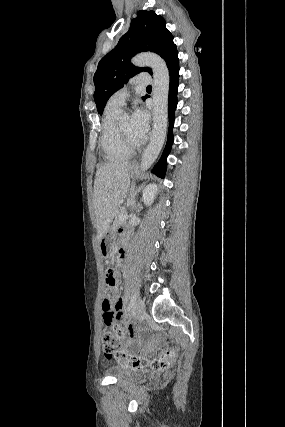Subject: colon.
<instances>
[{"mask_svg": "<svg viewBox=\"0 0 285 427\" xmlns=\"http://www.w3.org/2000/svg\"><path fill=\"white\" fill-rule=\"evenodd\" d=\"M116 279V273L112 269H108L105 274V295H108L112 292L116 284ZM120 316V314L108 316V319L114 320L115 323L112 326H107L102 333V344L105 357L107 359L114 358L123 367H128L135 370L143 369L148 365V359L118 350L121 340V327L117 320L120 318ZM177 354V348H166L152 360V368L155 371L167 370L175 360Z\"/></svg>", "mask_w": 285, "mask_h": 427, "instance_id": "5ec220e1", "label": "colon"}]
</instances>
